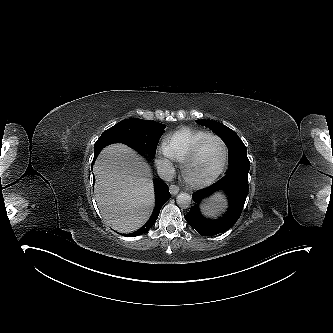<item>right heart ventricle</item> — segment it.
<instances>
[{
    "label": "right heart ventricle",
    "instance_id": "1",
    "mask_svg": "<svg viewBox=\"0 0 333 333\" xmlns=\"http://www.w3.org/2000/svg\"><path fill=\"white\" fill-rule=\"evenodd\" d=\"M208 135L207 131L184 127L166 138L165 147L172 159L182 162L193 146Z\"/></svg>",
    "mask_w": 333,
    "mask_h": 333
}]
</instances>
